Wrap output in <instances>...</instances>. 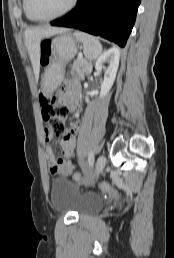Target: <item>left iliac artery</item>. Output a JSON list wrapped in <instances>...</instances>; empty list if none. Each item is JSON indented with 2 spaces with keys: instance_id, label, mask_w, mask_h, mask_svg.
Here are the masks:
<instances>
[{
  "instance_id": "1",
  "label": "left iliac artery",
  "mask_w": 174,
  "mask_h": 258,
  "mask_svg": "<svg viewBox=\"0 0 174 258\" xmlns=\"http://www.w3.org/2000/svg\"><path fill=\"white\" fill-rule=\"evenodd\" d=\"M88 162H89L90 167H92L93 164H94V154H93V152L89 153Z\"/></svg>"
}]
</instances>
